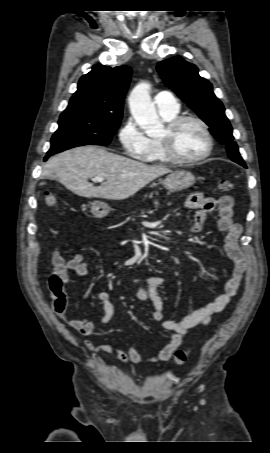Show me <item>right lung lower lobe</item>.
<instances>
[{
  "label": "right lung lower lobe",
  "instance_id": "right-lung-lower-lobe-1",
  "mask_svg": "<svg viewBox=\"0 0 270 453\" xmlns=\"http://www.w3.org/2000/svg\"><path fill=\"white\" fill-rule=\"evenodd\" d=\"M50 155H46V157L44 158V160H47V158L49 157Z\"/></svg>",
  "mask_w": 270,
  "mask_h": 453
}]
</instances>
